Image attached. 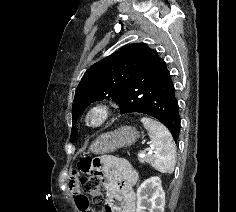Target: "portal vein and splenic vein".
Segmentation results:
<instances>
[{"mask_svg": "<svg viewBox=\"0 0 236 212\" xmlns=\"http://www.w3.org/2000/svg\"><path fill=\"white\" fill-rule=\"evenodd\" d=\"M150 154H152V149H151V151H150Z\"/></svg>", "mask_w": 236, "mask_h": 212, "instance_id": "18ae733b", "label": "portal vein and splenic vein"}]
</instances>
